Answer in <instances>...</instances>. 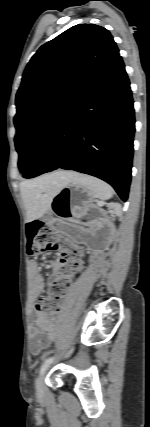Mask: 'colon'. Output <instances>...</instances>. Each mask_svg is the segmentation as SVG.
<instances>
[{
    "mask_svg": "<svg viewBox=\"0 0 150 427\" xmlns=\"http://www.w3.org/2000/svg\"><path fill=\"white\" fill-rule=\"evenodd\" d=\"M45 251H59L62 259L57 276L52 280L48 294L39 299L37 309L45 313L49 322L56 326L70 278L81 268L82 249L64 235L55 233L44 222L35 220L27 227V253L36 257Z\"/></svg>",
    "mask_w": 150,
    "mask_h": 427,
    "instance_id": "obj_1",
    "label": "colon"
}]
</instances>
